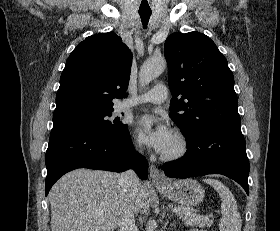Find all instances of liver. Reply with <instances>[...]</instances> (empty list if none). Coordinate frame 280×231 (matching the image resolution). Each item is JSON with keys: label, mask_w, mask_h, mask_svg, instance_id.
<instances>
[{"label": "liver", "mask_w": 280, "mask_h": 231, "mask_svg": "<svg viewBox=\"0 0 280 231\" xmlns=\"http://www.w3.org/2000/svg\"><path fill=\"white\" fill-rule=\"evenodd\" d=\"M121 173L74 169L58 179L49 197L52 231H113L123 211L139 213L145 201L144 183L122 195Z\"/></svg>", "instance_id": "liver-1"}]
</instances>
